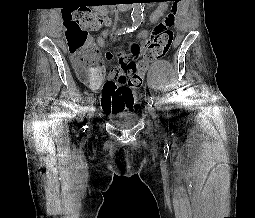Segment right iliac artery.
Instances as JSON below:
<instances>
[{"instance_id": "obj_1", "label": "right iliac artery", "mask_w": 255, "mask_h": 218, "mask_svg": "<svg viewBox=\"0 0 255 218\" xmlns=\"http://www.w3.org/2000/svg\"><path fill=\"white\" fill-rule=\"evenodd\" d=\"M125 32H130V30H126V29L119 30V31L117 32V34H118V35H121V34H124ZM92 103H93V99H92V98H89V99L87 100V106L85 107L86 110H89V109H90ZM86 128H87V125L83 126V129H84V130H86Z\"/></svg>"}]
</instances>
